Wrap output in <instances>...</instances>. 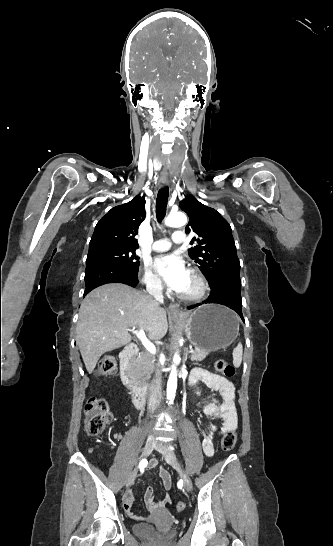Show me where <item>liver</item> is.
Listing matches in <instances>:
<instances>
[{"instance_id": "liver-1", "label": "liver", "mask_w": 333, "mask_h": 546, "mask_svg": "<svg viewBox=\"0 0 333 546\" xmlns=\"http://www.w3.org/2000/svg\"><path fill=\"white\" fill-rule=\"evenodd\" d=\"M129 327L143 329L150 340H160L168 330L166 311L152 297L122 283L105 284L85 297L76 340L89 373L104 353L131 342Z\"/></svg>"}]
</instances>
